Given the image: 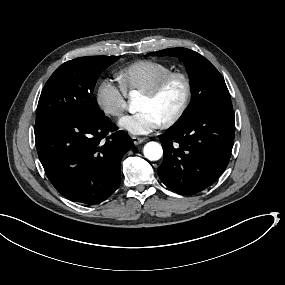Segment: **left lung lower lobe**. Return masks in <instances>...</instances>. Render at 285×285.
<instances>
[{
  "label": "left lung lower lobe",
  "instance_id": "left-lung-lower-lobe-1",
  "mask_svg": "<svg viewBox=\"0 0 285 285\" xmlns=\"http://www.w3.org/2000/svg\"><path fill=\"white\" fill-rule=\"evenodd\" d=\"M234 133L233 110L212 109L176 123L159 136L164 149L161 181L182 195L206 189L226 169Z\"/></svg>",
  "mask_w": 285,
  "mask_h": 285
}]
</instances>
